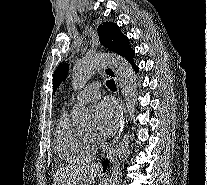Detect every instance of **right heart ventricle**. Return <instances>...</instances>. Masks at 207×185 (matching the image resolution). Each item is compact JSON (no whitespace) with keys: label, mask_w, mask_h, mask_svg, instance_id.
<instances>
[{"label":"right heart ventricle","mask_w":207,"mask_h":185,"mask_svg":"<svg viewBox=\"0 0 207 185\" xmlns=\"http://www.w3.org/2000/svg\"><path fill=\"white\" fill-rule=\"evenodd\" d=\"M56 145L62 158L71 164L93 161L98 150L92 137L71 125L67 113L60 118L56 131Z\"/></svg>","instance_id":"1"}]
</instances>
